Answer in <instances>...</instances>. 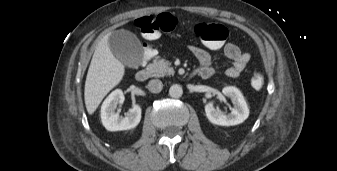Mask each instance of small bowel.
Here are the masks:
<instances>
[{"mask_svg":"<svg viewBox=\"0 0 337 171\" xmlns=\"http://www.w3.org/2000/svg\"><path fill=\"white\" fill-rule=\"evenodd\" d=\"M189 50L200 64L198 69H201L207 75L203 79L210 78L215 72L210 53L199 46H191ZM222 50L225 56L232 61V65L225 70V75L230 78H237L249 63L250 54L241 51L234 43H226Z\"/></svg>","mask_w":337,"mask_h":171,"instance_id":"c3829d8e","label":"small bowel"}]
</instances>
